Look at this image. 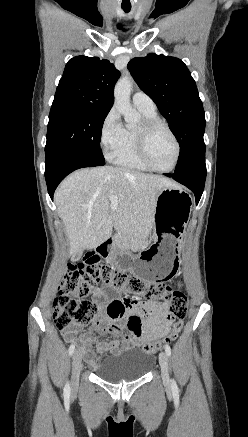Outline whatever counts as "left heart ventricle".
Listing matches in <instances>:
<instances>
[{"instance_id": "obj_1", "label": "left heart ventricle", "mask_w": 248, "mask_h": 437, "mask_svg": "<svg viewBox=\"0 0 248 437\" xmlns=\"http://www.w3.org/2000/svg\"><path fill=\"white\" fill-rule=\"evenodd\" d=\"M148 156L159 169H168L173 164L176 147L170 134L164 128L156 129L148 141Z\"/></svg>"}]
</instances>
